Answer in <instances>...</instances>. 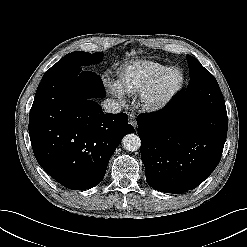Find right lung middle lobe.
<instances>
[{
  "instance_id": "dd1d6c3e",
  "label": "right lung middle lobe",
  "mask_w": 247,
  "mask_h": 247,
  "mask_svg": "<svg viewBox=\"0 0 247 247\" xmlns=\"http://www.w3.org/2000/svg\"><path fill=\"white\" fill-rule=\"evenodd\" d=\"M103 56V52H96L93 54L82 51L72 52L65 55L60 61L47 70L44 75H50L55 72L71 68L86 69L87 66L101 61Z\"/></svg>"
}]
</instances>
